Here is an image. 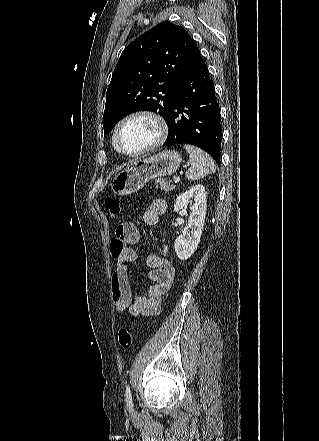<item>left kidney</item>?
I'll return each mask as SVG.
<instances>
[{
	"label": "left kidney",
	"mask_w": 319,
	"mask_h": 441,
	"mask_svg": "<svg viewBox=\"0 0 319 441\" xmlns=\"http://www.w3.org/2000/svg\"><path fill=\"white\" fill-rule=\"evenodd\" d=\"M192 202L193 205L190 206L191 213L187 224V234L183 233L178 236L174 244L177 257L181 260L190 258L200 242L206 215V193L203 185H196L179 195L174 204V211L185 210L187 205ZM172 225H174L173 222Z\"/></svg>",
	"instance_id": "1"
}]
</instances>
